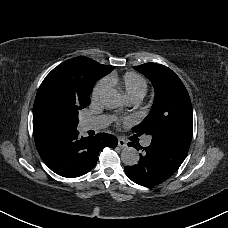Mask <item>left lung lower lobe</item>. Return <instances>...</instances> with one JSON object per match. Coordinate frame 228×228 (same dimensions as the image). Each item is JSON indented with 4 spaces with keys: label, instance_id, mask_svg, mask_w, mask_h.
Wrapping results in <instances>:
<instances>
[{
    "label": "left lung lower lobe",
    "instance_id": "obj_1",
    "mask_svg": "<svg viewBox=\"0 0 228 228\" xmlns=\"http://www.w3.org/2000/svg\"><path fill=\"white\" fill-rule=\"evenodd\" d=\"M138 136L131 140L135 142ZM129 146L137 150L143 149L138 164L125 167L126 175L135 183L142 186H155L171 177L180 167L187 156L190 145L180 141L152 136L148 147H141L132 142Z\"/></svg>",
    "mask_w": 228,
    "mask_h": 228
}]
</instances>
